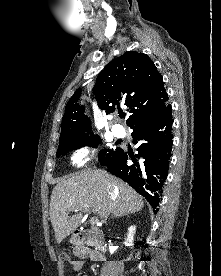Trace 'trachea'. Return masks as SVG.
<instances>
[{
    "label": "trachea",
    "mask_w": 221,
    "mask_h": 276,
    "mask_svg": "<svg viewBox=\"0 0 221 276\" xmlns=\"http://www.w3.org/2000/svg\"><path fill=\"white\" fill-rule=\"evenodd\" d=\"M120 117L121 118H125V114H120Z\"/></svg>",
    "instance_id": "3493384b"
}]
</instances>
